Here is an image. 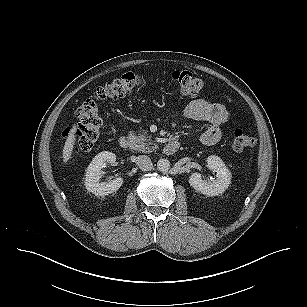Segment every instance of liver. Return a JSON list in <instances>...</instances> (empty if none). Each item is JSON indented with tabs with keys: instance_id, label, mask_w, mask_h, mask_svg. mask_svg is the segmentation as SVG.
Masks as SVG:
<instances>
[{
	"instance_id": "6515ba94",
	"label": "liver",
	"mask_w": 307,
	"mask_h": 307,
	"mask_svg": "<svg viewBox=\"0 0 307 307\" xmlns=\"http://www.w3.org/2000/svg\"><path fill=\"white\" fill-rule=\"evenodd\" d=\"M75 132H76V125H74L73 128L70 130L67 139L65 141V145L63 147L62 158L64 163H67L72 156L74 144L76 141Z\"/></svg>"
}]
</instances>
